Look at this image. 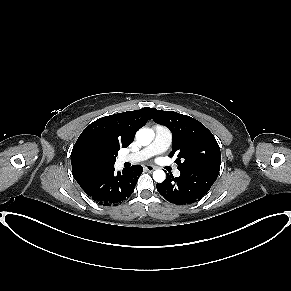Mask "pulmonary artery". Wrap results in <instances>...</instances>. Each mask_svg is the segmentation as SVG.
Instances as JSON below:
<instances>
[{
  "label": "pulmonary artery",
  "instance_id": "obj_1",
  "mask_svg": "<svg viewBox=\"0 0 291 291\" xmlns=\"http://www.w3.org/2000/svg\"><path fill=\"white\" fill-rule=\"evenodd\" d=\"M171 144V132L168 128L164 126H156L154 128V139L151 144L143 148L142 150L123 155L120 157L122 163L131 162L137 163L145 161L154 155L161 154L165 152ZM175 177L180 176V171L175 169L173 172Z\"/></svg>",
  "mask_w": 291,
  "mask_h": 291
}]
</instances>
